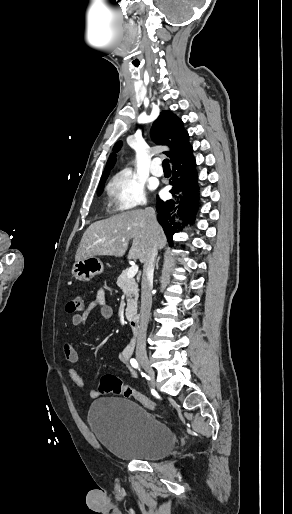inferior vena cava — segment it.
Wrapping results in <instances>:
<instances>
[{
  "label": "inferior vena cava",
  "mask_w": 292,
  "mask_h": 514,
  "mask_svg": "<svg viewBox=\"0 0 292 514\" xmlns=\"http://www.w3.org/2000/svg\"><path fill=\"white\" fill-rule=\"evenodd\" d=\"M149 214L152 220L156 222L155 212L154 210H152V208ZM156 256L157 246L156 244H154L153 248H151L150 252H148L147 260L143 266V276L141 282L140 330L137 336L136 354H140V352H146V332L148 328L149 316L152 306L151 290L153 284L154 264Z\"/></svg>",
  "instance_id": "inferior-vena-cava-1"
}]
</instances>
